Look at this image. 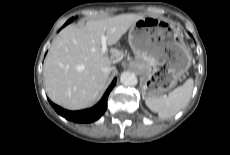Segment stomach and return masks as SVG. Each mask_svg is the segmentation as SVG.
I'll list each match as a JSON object with an SVG mask.
<instances>
[{"label":"stomach","instance_id":"1","mask_svg":"<svg viewBox=\"0 0 230 155\" xmlns=\"http://www.w3.org/2000/svg\"><path fill=\"white\" fill-rule=\"evenodd\" d=\"M128 38L135 66L144 76V98L158 97L174 87L190 67L191 53L179 29L164 18L138 20Z\"/></svg>","mask_w":230,"mask_h":155}]
</instances>
